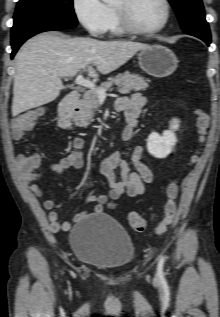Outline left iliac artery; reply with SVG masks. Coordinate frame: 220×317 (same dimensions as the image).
<instances>
[{"label": "left iliac artery", "instance_id": "left-iliac-artery-1", "mask_svg": "<svg viewBox=\"0 0 220 317\" xmlns=\"http://www.w3.org/2000/svg\"><path fill=\"white\" fill-rule=\"evenodd\" d=\"M165 262V258L162 256L160 259V263L163 264Z\"/></svg>", "mask_w": 220, "mask_h": 317}]
</instances>
